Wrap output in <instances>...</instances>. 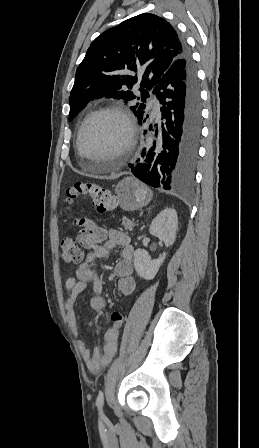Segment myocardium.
I'll list each match as a JSON object with an SVG mask.
<instances>
[{"mask_svg":"<svg viewBox=\"0 0 259 448\" xmlns=\"http://www.w3.org/2000/svg\"><path fill=\"white\" fill-rule=\"evenodd\" d=\"M114 114L119 116L126 128V136L124 140L115 147V156H123L129 153L134 145L135 136H136V124L131 112L124 106L113 104L105 107H101L96 111L92 112L82 123L80 126L77 138H76V160L77 162L81 161V153L83 148V136L87 129V127L97 118L107 115Z\"/></svg>","mask_w":259,"mask_h":448,"instance_id":"1","label":"myocardium"}]
</instances>
